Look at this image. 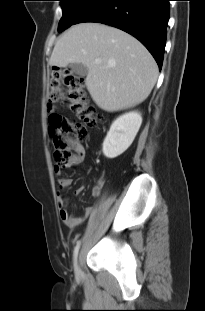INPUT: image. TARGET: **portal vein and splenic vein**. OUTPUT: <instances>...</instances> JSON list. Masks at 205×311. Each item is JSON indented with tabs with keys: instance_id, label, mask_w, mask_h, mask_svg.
Returning <instances> with one entry per match:
<instances>
[{
	"instance_id": "1",
	"label": "portal vein and splenic vein",
	"mask_w": 205,
	"mask_h": 311,
	"mask_svg": "<svg viewBox=\"0 0 205 311\" xmlns=\"http://www.w3.org/2000/svg\"><path fill=\"white\" fill-rule=\"evenodd\" d=\"M100 62H101L100 59H96V60H95V63H100Z\"/></svg>"
}]
</instances>
